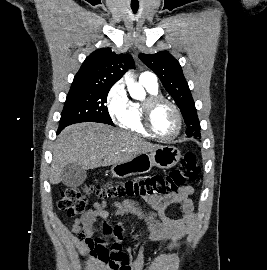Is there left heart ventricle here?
<instances>
[{"label":"left heart ventricle","mask_w":267,"mask_h":270,"mask_svg":"<svg viewBox=\"0 0 267 270\" xmlns=\"http://www.w3.org/2000/svg\"><path fill=\"white\" fill-rule=\"evenodd\" d=\"M152 124L161 136L174 135L177 129V118L172 107L166 103L158 104L152 112Z\"/></svg>","instance_id":"1"}]
</instances>
